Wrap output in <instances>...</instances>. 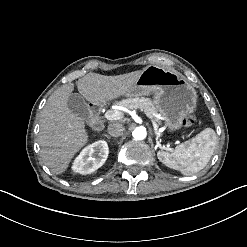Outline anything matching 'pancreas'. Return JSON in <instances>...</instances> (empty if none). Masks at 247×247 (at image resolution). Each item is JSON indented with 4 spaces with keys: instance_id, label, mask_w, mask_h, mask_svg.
I'll return each mask as SVG.
<instances>
[{
    "instance_id": "obj_1",
    "label": "pancreas",
    "mask_w": 247,
    "mask_h": 247,
    "mask_svg": "<svg viewBox=\"0 0 247 247\" xmlns=\"http://www.w3.org/2000/svg\"><path fill=\"white\" fill-rule=\"evenodd\" d=\"M116 104L125 107L127 109L138 108L144 111V113L147 116H153V114L158 112L156 106L154 105V102L150 98H145V97L127 98L117 102Z\"/></svg>"
}]
</instances>
